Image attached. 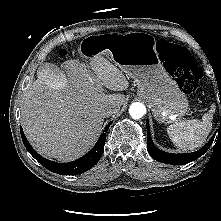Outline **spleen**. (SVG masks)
<instances>
[{"label":"spleen","instance_id":"spleen-1","mask_svg":"<svg viewBox=\"0 0 221 221\" xmlns=\"http://www.w3.org/2000/svg\"><path fill=\"white\" fill-rule=\"evenodd\" d=\"M214 112L215 105H212L209 112L203 115L202 120H183L170 125L167 128L169 138L183 151L199 148L212 130Z\"/></svg>","mask_w":221,"mask_h":221}]
</instances>
